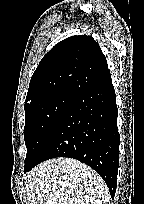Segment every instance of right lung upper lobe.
I'll return each mask as SVG.
<instances>
[{
	"mask_svg": "<svg viewBox=\"0 0 144 204\" xmlns=\"http://www.w3.org/2000/svg\"><path fill=\"white\" fill-rule=\"evenodd\" d=\"M109 77L107 61L98 43L91 36L69 37L40 61L30 80L25 109L57 94L77 95Z\"/></svg>",
	"mask_w": 144,
	"mask_h": 204,
	"instance_id": "1",
	"label": "right lung upper lobe"
}]
</instances>
